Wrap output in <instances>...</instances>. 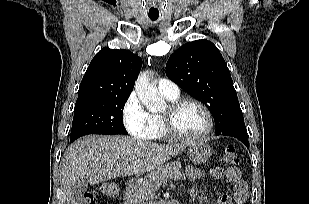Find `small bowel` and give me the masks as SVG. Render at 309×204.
<instances>
[{
	"mask_svg": "<svg viewBox=\"0 0 309 204\" xmlns=\"http://www.w3.org/2000/svg\"><path fill=\"white\" fill-rule=\"evenodd\" d=\"M189 175L192 179L203 175V171L198 168H189ZM208 175L217 180H228L234 184L233 194L222 195L219 204H244L248 198L249 191L247 183L242 179L241 171L238 167H228L226 169L215 167L208 171Z\"/></svg>",
	"mask_w": 309,
	"mask_h": 204,
	"instance_id": "c3829d8e",
	"label": "small bowel"
}]
</instances>
